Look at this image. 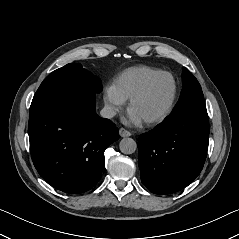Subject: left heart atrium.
<instances>
[{"label": "left heart atrium", "mask_w": 239, "mask_h": 239, "mask_svg": "<svg viewBox=\"0 0 239 239\" xmlns=\"http://www.w3.org/2000/svg\"><path fill=\"white\" fill-rule=\"evenodd\" d=\"M124 121H125V123L130 124V125H139L143 121V119L141 117H139L131 109H129L124 118Z\"/></svg>", "instance_id": "left-heart-atrium-1"}]
</instances>
